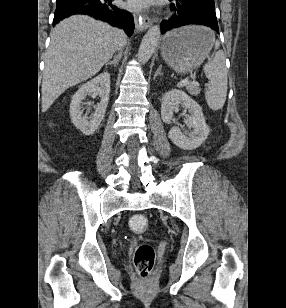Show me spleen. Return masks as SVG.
<instances>
[{
    "label": "spleen",
    "mask_w": 286,
    "mask_h": 308,
    "mask_svg": "<svg viewBox=\"0 0 286 308\" xmlns=\"http://www.w3.org/2000/svg\"><path fill=\"white\" fill-rule=\"evenodd\" d=\"M220 43L215 42V51L204 65L203 69L209 80L208 88L205 90V99L209 108L213 111L222 109L227 96V69L225 56L219 50Z\"/></svg>",
    "instance_id": "3e777b00"
}]
</instances>
